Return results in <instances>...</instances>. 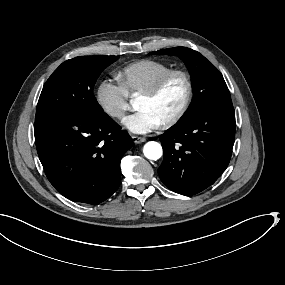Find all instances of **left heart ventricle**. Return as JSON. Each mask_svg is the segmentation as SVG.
Wrapping results in <instances>:
<instances>
[{
	"label": "left heart ventricle",
	"instance_id": "left-heart-ventricle-1",
	"mask_svg": "<svg viewBox=\"0 0 285 285\" xmlns=\"http://www.w3.org/2000/svg\"><path fill=\"white\" fill-rule=\"evenodd\" d=\"M182 82L176 78L163 91L152 96L141 103H144L158 118L165 119L178 106L182 96Z\"/></svg>",
	"mask_w": 285,
	"mask_h": 285
}]
</instances>
